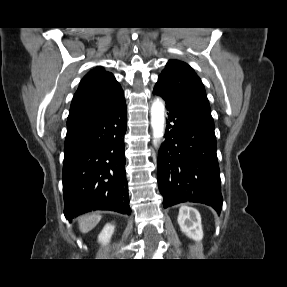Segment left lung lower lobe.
Returning a JSON list of instances; mask_svg holds the SVG:
<instances>
[{"instance_id":"0a47b994","label":"left lung lower lobe","mask_w":287,"mask_h":287,"mask_svg":"<svg viewBox=\"0 0 287 287\" xmlns=\"http://www.w3.org/2000/svg\"><path fill=\"white\" fill-rule=\"evenodd\" d=\"M168 110L165 141L158 155V185L164 208L199 202L222 209L220 170L214 129L169 101L154 87Z\"/></svg>"}]
</instances>
